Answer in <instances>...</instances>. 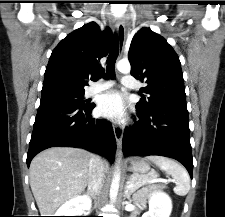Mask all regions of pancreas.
Wrapping results in <instances>:
<instances>
[{"label":"pancreas","mask_w":225,"mask_h":217,"mask_svg":"<svg viewBox=\"0 0 225 217\" xmlns=\"http://www.w3.org/2000/svg\"><path fill=\"white\" fill-rule=\"evenodd\" d=\"M152 179V173L139 175L133 174L129 177V184H133V187L128 189L129 193L135 192L139 189L143 184L147 183L149 180ZM160 188H165V186H159Z\"/></svg>","instance_id":"obj_1"}]
</instances>
